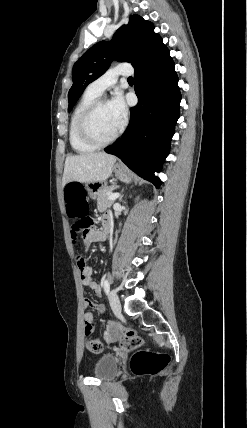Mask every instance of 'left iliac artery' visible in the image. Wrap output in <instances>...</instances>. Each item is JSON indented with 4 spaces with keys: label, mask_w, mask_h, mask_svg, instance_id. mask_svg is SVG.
Returning a JSON list of instances; mask_svg holds the SVG:
<instances>
[{
    "label": "left iliac artery",
    "mask_w": 247,
    "mask_h": 428,
    "mask_svg": "<svg viewBox=\"0 0 247 428\" xmlns=\"http://www.w3.org/2000/svg\"><path fill=\"white\" fill-rule=\"evenodd\" d=\"M103 288H104L105 293L108 294L109 290H110V283H109L108 279H104Z\"/></svg>",
    "instance_id": "obj_1"
}]
</instances>
